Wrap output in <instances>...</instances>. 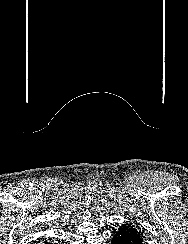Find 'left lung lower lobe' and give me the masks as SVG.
Instances as JSON below:
<instances>
[{
  "label": "left lung lower lobe",
  "mask_w": 188,
  "mask_h": 244,
  "mask_svg": "<svg viewBox=\"0 0 188 244\" xmlns=\"http://www.w3.org/2000/svg\"><path fill=\"white\" fill-rule=\"evenodd\" d=\"M111 244H144L141 232L133 225L125 224L118 228Z\"/></svg>",
  "instance_id": "obj_1"
}]
</instances>
